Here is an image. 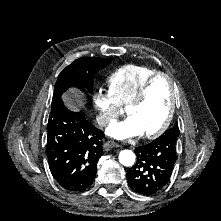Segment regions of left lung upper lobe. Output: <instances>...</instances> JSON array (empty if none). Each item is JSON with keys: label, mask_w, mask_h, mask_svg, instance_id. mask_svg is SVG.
I'll use <instances>...</instances> for the list:
<instances>
[{"label": "left lung upper lobe", "mask_w": 221, "mask_h": 221, "mask_svg": "<svg viewBox=\"0 0 221 221\" xmlns=\"http://www.w3.org/2000/svg\"><path fill=\"white\" fill-rule=\"evenodd\" d=\"M179 135V129H178V124H176L173 128L168 129L163 135L161 136H165L174 140H177Z\"/></svg>", "instance_id": "5c2ea615"}]
</instances>
